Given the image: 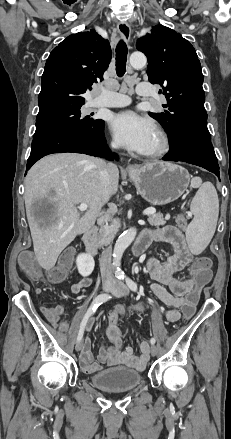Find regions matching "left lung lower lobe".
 Listing matches in <instances>:
<instances>
[{
	"label": "left lung lower lobe",
	"mask_w": 231,
	"mask_h": 439,
	"mask_svg": "<svg viewBox=\"0 0 231 439\" xmlns=\"http://www.w3.org/2000/svg\"><path fill=\"white\" fill-rule=\"evenodd\" d=\"M170 147L169 153L162 160L187 162L203 167L219 177L218 160L211 141L185 137L177 142L170 143Z\"/></svg>",
	"instance_id": "obj_1"
}]
</instances>
